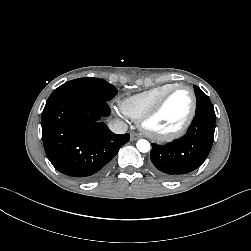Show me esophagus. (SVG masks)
I'll return each mask as SVG.
<instances>
[{"label":"esophagus","instance_id":"esophagus-1","mask_svg":"<svg viewBox=\"0 0 251 251\" xmlns=\"http://www.w3.org/2000/svg\"><path fill=\"white\" fill-rule=\"evenodd\" d=\"M130 138H131V140H138L139 138H141V135L133 132V133H131Z\"/></svg>","mask_w":251,"mask_h":251}]
</instances>
